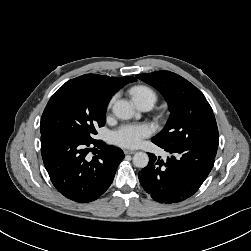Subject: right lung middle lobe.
Masks as SVG:
<instances>
[{"label":"right lung middle lobe","instance_id":"obj_1","mask_svg":"<svg viewBox=\"0 0 251 251\" xmlns=\"http://www.w3.org/2000/svg\"><path fill=\"white\" fill-rule=\"evenodd\" d=\"M108 103L95 88L68 81L50 98L41 117L40 132H65L93 140L96 127L106 123Z\"/></svg>","mask_w":251,"mask_h":251}]
</instances>
